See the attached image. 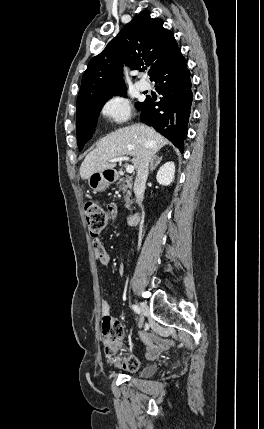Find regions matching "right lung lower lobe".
Listing matches in <instances>:
<instances>
[{"label": "right lung lower lobe", "instance_id": "98d812e1", "mask_svg": "<svg viewBox=\"0 0 264 429\" xmlns=\"http://www.w3.org/2000/svg\"><path fill=\"white\" fill-rule=\"evenodd\" d=\"M156 91L163 97L159 102L146 98L141 109V121L154 127L183 152L193 94L190 71L180 49L151 77Z\"/></svg>", "mask_w": 264, "mask_h": 429}]
</instances>
